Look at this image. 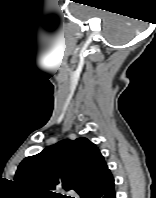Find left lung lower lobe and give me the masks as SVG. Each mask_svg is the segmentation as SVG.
I'll list each match as a JSON object with an SVG mask.
<instances>
[{
	"label": "left lung lower lobe",
	"instance_id": "obj_1",
	"mask_svg": "<svg viewBox=\"0 0 156 198\" xmlns=\"http://www.w3.org/2000/svg\"><path fill=\"white\" fill-rule=\"evenodd\" d=\"M81 198H116L114 178L108 170L93 186L80 194Z\"/></svg>",
	"mask_w": 156,
	"mask_h": 198
}]
</instances>
